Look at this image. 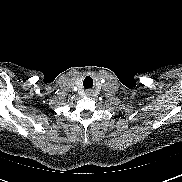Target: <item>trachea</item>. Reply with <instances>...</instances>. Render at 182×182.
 <instances>
[{
    "instance_id": "3493384b",
    "label": "trachea",
    "mask_w": 182,
    "mask_h": 182,
    "mask_svg": "<svg viewBox=\"0 0 182 182\" xmlns=\"http://www.w3.org/2000/svg\"><path fill=\"white\" fill-rule=\"evenodd\" d=\"M83 85H84L85 88H91L93 86L92 78L87 76L83 81Z\"/></svg>"
}]
</instances>
